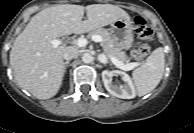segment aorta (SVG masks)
<instances>
[{
	"mask_svg": "<svg viewBox=\"0 0 194 133\" xmlns=\"http://www.w3.org/2000/svg\"><path fill=\"white\" fill-rule=\"evenodd\" d=\"M92 60H93V57H92V55L90 53H84L82 55V61L84 63H90V62H92Z\"/></svg>",
	"mask_w": 194,
	"mask_h": 133,
	"instance_id": "1",
	"label": "aorta"
}]
</instances>
